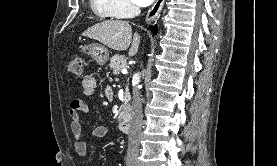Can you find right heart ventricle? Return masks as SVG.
<instances>
[{
  "mask_svg": "<svg viewBox=\"0 0 277 166\" xmlns=\"http://www.w3.org/2000/svg\"><path fill=\"white\" fill-rule=\"evenodd\" d=\"M89 6L92 12L102 20L118 17L109 0H89Z\"/></svg>",
  "mask_w": 277,
  "mask_h": 166,
  "instance_id": "right-heart-ventricle-1",
  "label": "right heart ventricle"
}]
</instances>
